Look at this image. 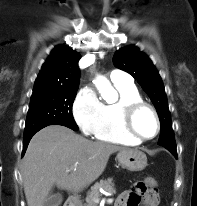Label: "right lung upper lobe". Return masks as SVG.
Wrapping results in <instances>:
<instances>
[{
    "label": "right lung upper lobe",
    "instance_id": "right-lung-upper-lobe-1",
    "mask_svg": "<svg viewBox=\"0 0 197 206\" xmlns=\"http://www.w3.org/2000/svg\"><path fill=\"white\" fill-rule=\"evenodd\" d=\"M79 59L80 54L66 46L55 47L41 68L34 90L78 88Z\"/></svg>",
    "mask_w": 197,
    "mask_h": 206
}]
</instances>
